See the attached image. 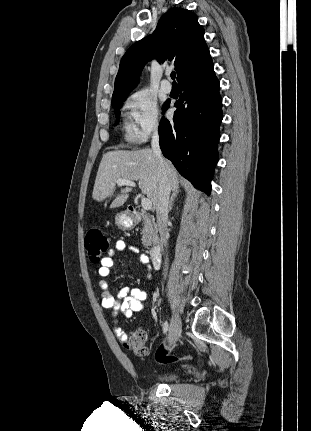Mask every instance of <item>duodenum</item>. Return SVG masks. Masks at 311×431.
<instances>
[{"mask_svg":"<svg viewBox=\"0 0 311 431\" xmlns=\"http://www.w3.org/2000/svg\"><path fill=\"white\" fill-rule=\"evenodd\" d=\"M127 213L132 219H137L140 216L139 211L134 206H129ZM149 255L153 265L159 266L161 262V248L158 244L150 248Z\"/></svg>","mask_w":311,"mask_h":431,"instance_id":"410a0bca","label":"duodenum"}]
</instances>
